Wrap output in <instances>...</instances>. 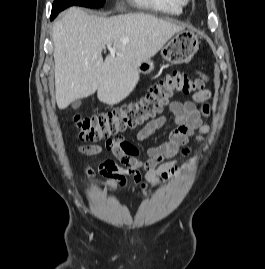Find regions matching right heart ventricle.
Here are the masks:
<instances>
[{
    "label": "right heart ventricle",
    "mask_w": 265,
    "mask_h": 269,
    "mask_svg": "<svg viewBox=\"0 0 265 269\" xmlns=\"http://www.w3.org/2000/svg\"><path fill=\"white\" fill-rule=\"evenodd\" d=\"M136 6L153 12L179 15L183 11V5L179 0H130Z\"/></svg>",
    "instance_id": "obj_1"
}]
</instances>
